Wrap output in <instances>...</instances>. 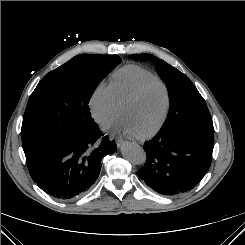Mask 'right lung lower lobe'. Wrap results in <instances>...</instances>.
Returning a JSON list of instances; mask_svg holds the SVG:
<instances>
[{"label":"right lung lower lobe","instance_id":"98d812e1","mask_svg":"<svg viewBox=\"0 0 245 245\" xmlns=\"http://www.w3.org/2000/svg\"><path fill=\"white\" fill-rule=\"evenodd\" d=\"M116 148L95 124L81 135L62 136L25 155L34 182L46 193L67 200L91 188L98 178L101 158Z\"/></svg>","mask_w":245,"mask_h":245}]
</instances>
